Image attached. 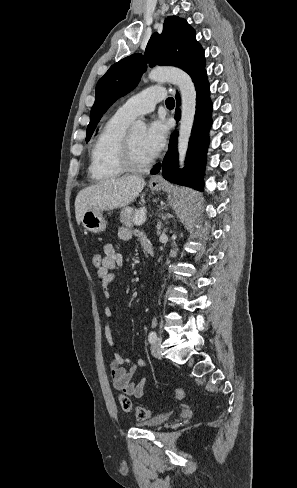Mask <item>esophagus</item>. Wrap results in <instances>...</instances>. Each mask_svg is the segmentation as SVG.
<instances>
[{
    "label": "esophagus",
    "mask_w": 297,
    "mask_h": 488,
    "mask_svg": "<svg viewBox=\"0 0 297 488\" xmlns=\"http://www.w3.org/2000/svg\"><path fill=\"white\" fill-rule=\"evenodd\" d=\"M162 181H163V178H162L161 174H157L151 178L150 184L151 185L158 184V183H161Z\"/></svg>",
    "instance_id": "1"
}]
</instances>
